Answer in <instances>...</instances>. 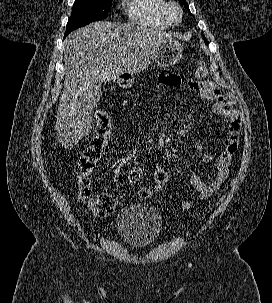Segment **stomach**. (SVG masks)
I'll return each mask as SVG.
<instances>
[{
	"label": "stomach",
	"instance_id": "stomach-1",
	"mask_svg": "<svg viewBox=\"0 0 272 303\" xmlns=\"http://www.w3.org/2000/svg\"><path fill=\"white\" fill-rule=\"evenodd\" d=\"M183 46L182 44L173 39H166L162 42L157 50V53L154 57L155 63L159 67H168L178 63L182 57ZM133 84V79L127 81L121 80L119 86L123 88H129Z\"/></svg>",
	"mask_w": 272,
	"mask_h": 303
}]
</instances>
